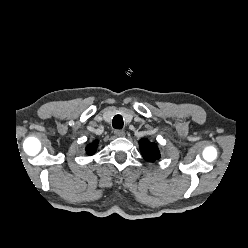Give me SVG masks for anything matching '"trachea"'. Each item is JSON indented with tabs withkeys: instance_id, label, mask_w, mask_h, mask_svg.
Wrapping results in <instances>:
<instances>
[{
	"instance_id": "obj_1",
	"label": "trachea",
	"mask_w": 248,
	"mask_h": 248,
	"mask_svg": "<svg viewBox=\"0 0 248 248\" xmlns=\"http://www.w3.org/2000/svg\"><path fill=\"white\" fill-rule=\"evenodd\" d=\"M124 125L123 118L121 115H116L112 120V126L115 129H122Z\"/></svg>"
}]
</instances>
